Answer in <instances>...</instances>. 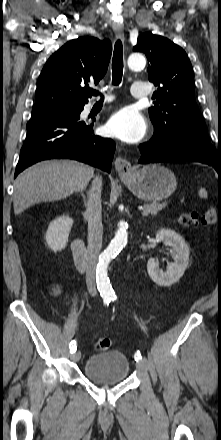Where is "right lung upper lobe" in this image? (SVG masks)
I'll return each instance as SVG.
<instances>
[{
    "instance_id": "right-lung-upper-lobe-1",
    "label": "right lung upper lobe",
    "mask_w": 221,
    "mask_h": 440,
    "mask_svg": "<svg viewBox=\"0 0 221 440\" xmlns=\"http://www.w3.org/2000/svg\"><path fill=\"white\" fill-rule=\"evenodd\" d=\"M111 43L95 37L68 41L46 62L37 81L32 111L80 107L90 97L84 85L98 83L106 74Z\"/></svg>"
}]
</instances>
